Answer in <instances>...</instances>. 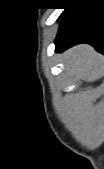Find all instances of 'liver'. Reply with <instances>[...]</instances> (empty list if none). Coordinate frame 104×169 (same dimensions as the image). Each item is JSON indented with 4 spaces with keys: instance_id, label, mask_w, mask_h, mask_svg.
<instances>
[{
    "instance_id": "1",
    "label": "liver",
    "mask_w": 104,
    "mask_h": 169,
    "mask_svg": "<svg viewBox=\"0 0 104 169\" xmlns=\"http://www.w3.org/2000/svg\"><path fill=\"white\" fill-rule=\"evenodd\" d=\"M63 57L68 73L86 81H94L98 78L103 60L90 45L72 47L63 54Z\"/></svg>"
}]
</instances>
